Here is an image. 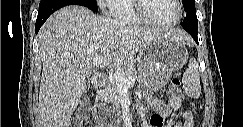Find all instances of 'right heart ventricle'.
Listing matches in <instances>:
<instances>
[{
  "label": "right heart ventricle",
  "mask_w": 243,
  "mask_h": 127,
  "mask_svg": "<svg viewBox=\"0 0 243 127\" xmlns=\"http://www.w3.org/2000/svg\"><path fill=\"white\" fill-rule=\"evenodd\" d=\"M110 11L114 19L132 24H147L135 10V0H112Z\"/></svg>",
  "instance_id": "right-heart-ventricle-1"
}]
</instances>
